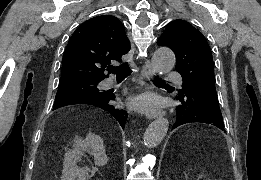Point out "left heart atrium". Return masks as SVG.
<instances>
[{"label": "left heart atrium", "mask_w": 261, "mask_h": 180, "mask_svg": "<svg viewBox=\"0 0 261 180\" xmlns=\"http://www.w3.org/2000/svg\"><path fill=\"white\" fill-rule=\"evenodd\" d=\"M159 98L153 94H143L134 98L131 102L132 107L141 111H150L159 106Z\"/></svg>", "instance_id": "1"}]
</instances>
